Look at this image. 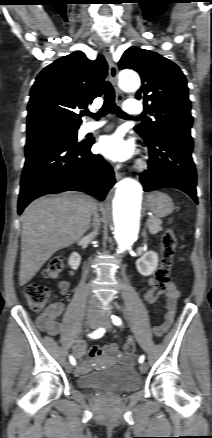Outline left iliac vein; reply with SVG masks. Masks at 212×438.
<instances>
[{"instance_id": "obj_1", "label": "left iliac vein", "mask_w": 212, "mask_h": 438, "mask_svg": "<svg viewBox=\"0 0 212 438\" xmlns=\"http://www.w3.org/2000/svg\"><path fill=\"white\" fill-rule=\"evenodd\" d=\"M99 326H100V327H105V328H107V329H111V323H110V320H109V318H108L106 315H102V316L100 317ZM147 370H148V365H147L146 363H142V364L140 365V371H141L142 373H145V372H147Z\"/></svg>"}]
</instances>
